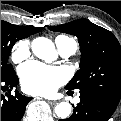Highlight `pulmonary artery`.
I'll return each mask as SVG.
<instances>
[{"label": "pulmonary artery", "mask_w": 121, "mask_h": 121, "mask_svg": "<svg viewBox=\"0 0 121 121\" xmlns=\"http://www.w3.org/2000/svg\"><path fill=\"white\" fill-rule=\"evenodd\" d=\"M56 45L62 57H69L77 51V44L75 41L59 42L56 43ZM77 102H79V98H77Z\"/></svg>", "instance_id": "obj_1"}]
</instances>
